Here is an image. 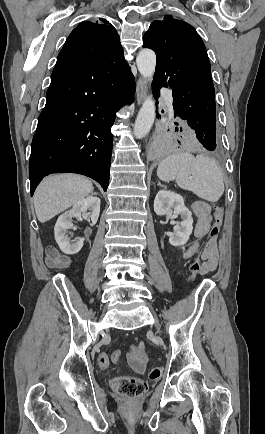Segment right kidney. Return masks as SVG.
Here are the masks:
<instances>
[{"label":"right kidney","mask_w":265,"mask_h":434,"mask_svg":"<svg viewBox=\"0 0 265 434\" xmlns=\"http://www.w3.org/2000/svg\"><path fill=\"white\" fill-rule=\"evenodd\" d=\"M100 204V198L88 196V198H82V200L76 202L72 210H68V212L59 216L55 224L54 236L63 254H77L83 248V240H78L73 244L68 238V230L75 228L74 224H72V218H81L83 216L86 220H91L94 226L99 218Z\"/></svg>","instance_id":"1"}]
</instances>
